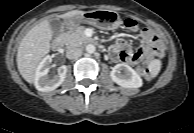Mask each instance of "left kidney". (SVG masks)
Here are the masks:
<instances>
[{"instance_id": "5707ae66", "label": "left kidney", "mask_w": 194, "mask_h": 133, "mask_svg": "<svg viewBox=\"0 0 194 133\" xmlns=\"http://www.w3.org/2000/svg\"><path fill=\"white\" fill-rule=\"evenodd\" d=\"M121 71H123V74ZM110 76L113 82L123 88H139L143 84L139 74L126 63L114 66Z\"/></svg>"}]
</instances>
